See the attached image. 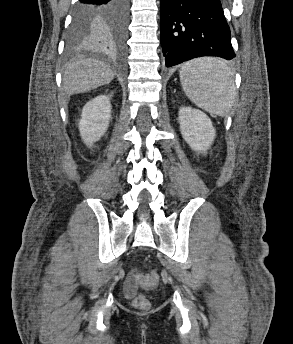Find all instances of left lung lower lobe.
Returning a JSON list of instances; mask_svg holds the SVG:
<instances>
[{
    "mask_svg": "<svg viewBox=\"0 0 293 344\" xmlns=\"http://www.w3.org/2000/svg\"><path fill=\"white\" fill-rule=\"evenodd\" d=\"M161 47L166 67L202 56L233 59L220 0H160Z\"/></svg>",
    "mask_w": 293,
    "mask_h": 344,
    "instance_id": "1",
    "label": "left lung lower lobe"
}]
</instances>
